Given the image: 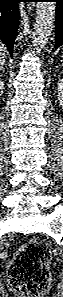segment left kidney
<instances>
[{"label":"left kidney","instance_id":"obj_1","mask_svg":"<svg viewBox=\"0 0 63 297\" xmlns=\"http://www.w3.org/2000/svg\"><path fill=\"white\" fill-rule=\"evenodd\" d=\"M57 85H58L57 97L60 105H63V80L58 81Z\"/></svg>","mask_w":63,"mask_h":297}]
</instances>
